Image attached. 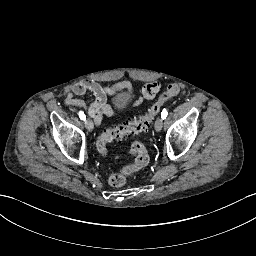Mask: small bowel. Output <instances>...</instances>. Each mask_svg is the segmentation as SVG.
Here are the masks:
<instances>
[{
	"instance_id": "1",
	"label": "small bowel",
	"mask_w": 256,
	"mask_h": 256,
	"mask_svg": "<svg viewBox=\"0 0 256 256\" xmlns=\"http://www.w3.org/2000/svg\"><path fill=\"white\" fill-rule=\"evenodd\" d=\"M161 89V84L157 81L147 83L136 97L133 103L136 105L142 99L152 100ZM120 92H133V87L128 81H120L111 86H104L93 80H84L73 85L66 94L64 103L68 107L87 109L89 115L94 119L95 124L100 125L104 117H112L116 113V106L107 102L108 97L115 96ZM91 93L95 100L89 106L79 97Z\"/></svg>"
}]
</instances>
